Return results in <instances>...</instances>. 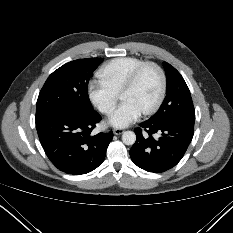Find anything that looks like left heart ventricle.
Segmentation results:
<instances>
[{
    "instance_id": "b2bd125f",
    "label": "left heart ventricle",
    "mask_w": 233,
    "mask_h": 233,
    "mask_svg": "<svg viewBox=\"0 0 233 233\" xmlns=\"http://www.w3.org/2000/svg\"><path fill=\"white\" fill-rule=\"evenodd\" d=\"M160 92V77L153 68L144 71L137 85L121 93L123 101H131L142 111L150 108L158 98Z\"/></svg>"
}]
</instances>
